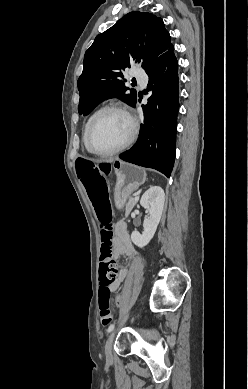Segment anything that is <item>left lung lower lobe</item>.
Here are the masks:
<instances>
[{
	"label": "left lung lower lobe",
	"mask_w": 248,
	"mask_h": 389,
	"mask_svg": "<svg viewBox=\"0 0 248 389\" xmlns=\"http://www.w3.org/2000/svg\"><path fill=\"white\" fill-rule=\"evenodd\" d=\"M146 73L149 76L147 91H152V94L148 103L142 106L144 123L136 144L119 157L142 167L156 169L169 178L175 161L179 110L178 63L173 45L158 57Z\"/></svg>",
	"instance_id": "0a47b994"
}]
</instances>
